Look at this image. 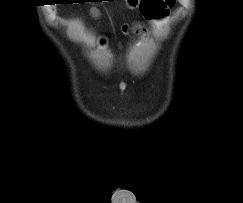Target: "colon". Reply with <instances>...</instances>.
I'll use <instances>...</instances> for the list:
<instances>
[{"mask_svg":"<svg viewBox=\"0 0 243 203\" xmlns=\"http://www.w3.org/2000/svg\"><path fill=\"white\" fill-rule=\"evenodd\" d=\"M175 3L176 0H141L140 12L146 20L160 23ZM129 29L136 34H142L144 30L140 22L133 23Z\"/></svg>","mask_w":243,"mask_h":203,"instance_id":"5ec220e1","label":"colon"}]
</instances>
